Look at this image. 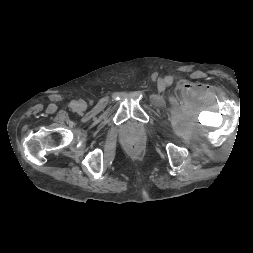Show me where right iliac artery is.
Instances as JSON below:
<instances>
[{"mask_svg": "<svg viewBox=\"0 0 253 253\" xmlns=\"http://www.w3.org/2000/svg\"><path fill=\"white\" fill-rule=\"evenodd\" d=\"M76 106H77V101L73 100L70 102V107L76 108Z\"/></svg>", "mask_w": 253, "mask_h": 253, "instance_id": "1", "label": "right iliac artery"}]
</instances>
